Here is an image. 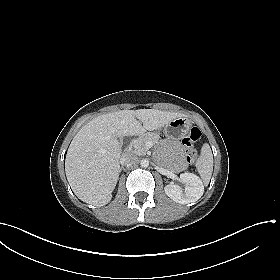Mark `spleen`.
Here are the masks:
<instances>
[{"instance_id": "obj_1", "label": "spleen", "mask_w": 280, "mask_h": 280, "mask_svg": "<svg viewBox=\"0 0 280 280\" xmlns=\"http://www.w3.org/2000/svg\"><path fill=\"white\" fill-rule=\"evenodd\" d=\"M196 167L203 183L208 185L213 171V155L209 144H203Z\"/></svg>"}]
</instances>
